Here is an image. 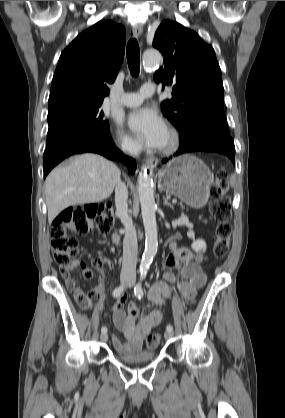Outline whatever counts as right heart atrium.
Wrapping results in <instances>:
<instances>
[{
    "label": "right heart atrium",
    "instance_id": "1",
    "mask_svg": "<svg viewBox=\"0 0 285 418\" xmlns=\"http://www.w3.org/2000/svg\"><path fill=\"white\" fill-rule=\"evenodd\" d=\"M114 142L117 148L124 154L133 155L136 152V145L123 132L117 131L114 137Z\"/></svg>",
    "mask_w": 285,
    "mask_h": 418
}]
</instances>
